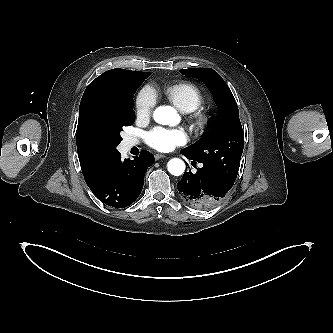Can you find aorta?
<instances>
[{
  "instance_id": "obj_1",
  "label": "aorta",
  "mask_w": 333,
  "mask_h": 333,
  "mask_svg": "<svg viewBox=\"0 0 333 333\" xmlns=\"http://www.w3.org/2000/svg\"><path fill=\"white\" fill-rule=\"evenodd\" d=\"M153 118L162 125L174 126L180 121L179 115L171 106L157 107L153 113ZM168 171L174 176H180L185 171V164L181 159L173 158L168 162Z\"/></svg>"
}]
</instances>
